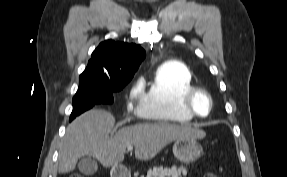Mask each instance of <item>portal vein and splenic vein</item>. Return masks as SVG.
Masks as SVG:
<instances>
[{
	"label": "portal vein and splenic vein",
	"mask_w": 287,
	"mask_h": 177,
	"mask_svg": "<svg viewBox=\"0 0 287 177\" xmlns=\"http://www.w3.org/2000/svg\"><path fill=\"white\" fill-rule=\"evenodd\" d=\"M127 149H128L129 151H131V150H133V146H128Z\"/></svg>",
	"instance_id": "portal-vein-and-splenic-vein-1"
}]
</instances>
